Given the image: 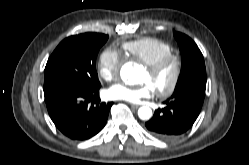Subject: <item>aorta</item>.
Segmentation results:
<instances>
[{"label": "aorta", "mask_w": 249, "mask_h": 165, "mask_svg": "<svg viewBox=\"0 0 249 165\" xmlns=\"http://www.w3.org/2000/svg\"><path fill=\"white\" fill-rule=\"evenodd\" d=\"M140 70V66L131 62L125 63L120 70L121 79L128 84H136L139 79L136 73ZM138 116L142 120H148L152 117V110L143 106L138 109Z\"/></svg>", "instance_id": "aorta-1"}]
</instances>
